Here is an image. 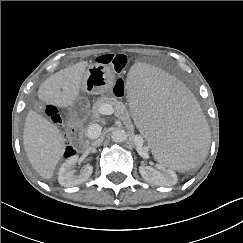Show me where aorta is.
I'll list each match as a JSON object with an SVG mask.
<instances>
[{
    "label": "aorta",
    "mask_w": 243,
    "mask_h": 243,
    "mask_svg": "<svg viewBox=\"0 0 243 243\" xmlns=\"http://www.w3.org/2000/svg\"><path fill=\"white\" fill-rule=\"evenodd\" d=\"M111 138L114 142L122 143L127 140V133L123 129H116L112 131Z\"/></svg>",
    "instance_id": "obj_1"
}]
</instances>
